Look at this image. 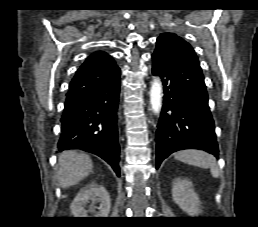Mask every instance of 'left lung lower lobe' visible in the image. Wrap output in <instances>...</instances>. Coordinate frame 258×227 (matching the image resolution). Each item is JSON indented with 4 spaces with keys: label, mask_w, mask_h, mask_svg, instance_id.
I'll return each instance as SVG.
<instances>
[{
    "label": "left lung lower lobe",
    "mask_w": 258,
    "mask_h": 227,
    "mask_svg": "<svg viewBox=\"0 0 258 227\" xmlns=\"http://www.w3.org/2000/svg\"><path fill=\"white\" fill-rule=\"evenodd\" d=\"M152 58V73L161 78L164 89L156 132V168L171 153L182 149H200L218 157L201 68L163 46H156Z\"/></svg>",
    "instance_id": "left-lung-lower-lobe-1"
}]
</instances>
